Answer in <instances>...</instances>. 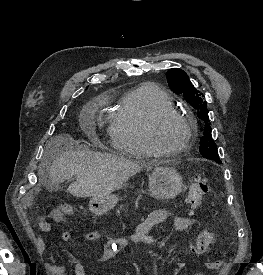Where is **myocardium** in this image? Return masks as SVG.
Here are the masks:
<instances>
[{
  "label": "myocardium",
  "instance_id": "1",
  "mask_svg": "<svg viewBox=\"0 0 263 275\" xmlns=\"http://www.w3.org/2000/svg\"><path fill=\"white\" fill-rule=\"evenodd\" d=\"M176 118L182 121L187 127V138L185 142L177 148L167 149L162 147L156 138V132L159 126L168 119ZM196 135V122L195 120L188 114L183 113L175 108H165L157 111L153 114L148 120L145 127V136L146 140L155 153V155L159 156H174L181 154L187 151L195 138Z\"/></svg>",
  "mask_w": 263,
  "mask_h": 275
}]
</instances>
